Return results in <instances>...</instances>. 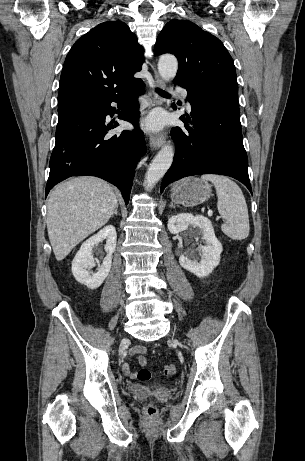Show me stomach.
Returning a JSON list of instances; mask_svg holds the SVG:
<instances>
[{
	"label": "stomach",
	"mask_w": 305,
	"mask_h": 461,
	"mask_svg": "<svg viewBox=\"0 0 305 461\" xmlns=\"http://www.w3.org/2000/svg\"><path fill=\"white\" fill-rule=\"evenodd\" d=\"M212 196V186L198 178H186L172 191L171 199L176 204L194 207L207 201Z\"/></svg>",
	"instance_id": "stomach-1"
}]
</instances>
